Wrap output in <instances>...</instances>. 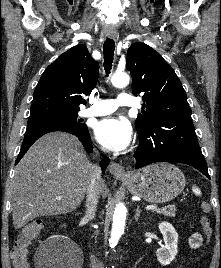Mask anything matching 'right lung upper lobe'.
Wrapping results in <instances>:
<instances>
[{
    "label": "right lung upper lobe",
    "mask_w": 221,
    "mask_h": 268,
    "mask_svg": "<svg viewBox=\"0 0 221 268\" xmlns=\"http://www.w3.org/2000/svg\"><path fill=\"white\" fill-rule=\"evenodd\" d=\"M99 64L85 45H76L60 55L42 74L34 91L30 116L78 112L96 86Z\"/></svg>",
    "instance_id": "1"
}]
</instances>
